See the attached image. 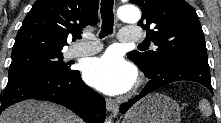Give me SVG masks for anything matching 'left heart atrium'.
<instances>
[{
    "label": "left heart atrium",
    "instance_id": "obj_1",
    "mask_svg": "<svg viewBox=\"0 0 221 123\" xmlns=\"http://www.w3.org/2000/svg\"><path fill=\"white\" fill-rule=\"evenodd\" d=\"M84 80L94 88L107 93L127 91L136 78L135 69L114 52L88 60L83 68Z\"/></svg>",
    "mask_w": 221,
    "mask_h": 123
}]
</instances>
